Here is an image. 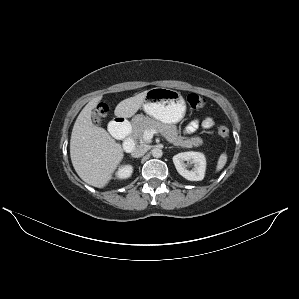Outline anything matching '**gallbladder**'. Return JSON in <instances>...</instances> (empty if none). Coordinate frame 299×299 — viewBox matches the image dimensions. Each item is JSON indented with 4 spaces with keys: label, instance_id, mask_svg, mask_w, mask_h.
Masks as SVG:
<instances>
[{
    "label": "gallbladder",
    "instance_id": "1",
    "mask_svg": "<svg viewBox=\"0 0 299 299\" xmlns=\"http://www.w3.org/2000/svg\"><path fill=\"white\" fill-rule=\"evenodd\" d=\"M95 118L97 119V121H100L101 120V115L100 114H95Z\"/></svg>",
    "mask_w": 299,
    "mask_h": 299
}]
</instances>
